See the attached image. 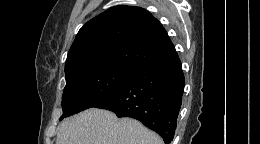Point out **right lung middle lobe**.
<instances>
[{"mask_svg": "<svg viewBox=\"0 0 260 144\" xmlns=\"http://www.w3.org/2000/svg\"><path fill=\"white\" fill-rule=\"evenodd\" d=\"M134 69L116 65H94L66 75L60 119L91 108L116 92Z\"/></svg>", "mask_w": 260, "mask_h": 144, "instance_id": "obj_1", "label": "right lung middle lobe"}]
</instances>
